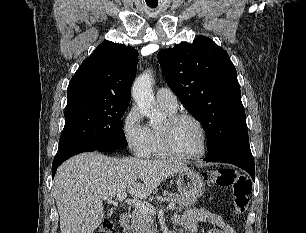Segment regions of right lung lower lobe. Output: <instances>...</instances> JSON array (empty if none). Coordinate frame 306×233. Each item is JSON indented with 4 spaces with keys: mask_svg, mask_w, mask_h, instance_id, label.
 <instances>
[{
    "mask_svg": "<svg viewBox=\"0 0 306 233\" xmlns=\"http://www.w3.org/2000/svg\"><path fill=\"white\" fill-rule=\"evenodd\" d=\"M119 147H81L75 150H72L62 156L59 157H55L53 164H52V178L54 177L57 168L59 167V165H61L65 160H67L68 158H70L71 156L81 153V152H87V151H113L116 150Z\"/></svg>",
    "mask_w": 306,
    "mask_h": 233,
    "instance_id": "1",
    "label": "right lung lower lobe"
}]
</instances>
